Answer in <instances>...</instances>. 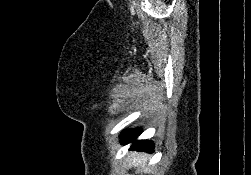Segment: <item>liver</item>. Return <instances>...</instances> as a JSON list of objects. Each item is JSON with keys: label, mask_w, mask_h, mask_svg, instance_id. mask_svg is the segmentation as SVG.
Listing matches in <instances>:
<instances>
[{"label": "liver", "mask_w": 251, "mask_h": 175, "mask_svg": "<svg viewBox=\"0 0 251 175\" xmlns=\"http://www.w3.org/2000/svg\"><path fill=\"white\" fill-rule=\"evenodd\" d=\"M127 161L129 163H132L133 167H142L140 171H148V167H145L146 161H148L147 153H132V155H129Z\"/></svg>", "instance_id": "liver-1"}]
</instances>
